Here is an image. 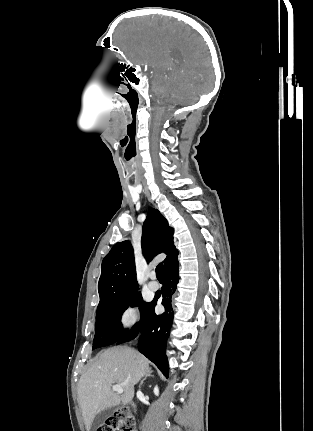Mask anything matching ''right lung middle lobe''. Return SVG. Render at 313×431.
Here are the masks:
<instances>
[{
    "instance_id": "1",
    "label": "right lung middle lobe",
    "mask_w": 313,
    "mask_h": 431,
    "mask_svg": "<svg viewBox=\"0 0 313 431\" xmlns=\"http://www.w3.org/2000/svg\"><path fill=\"white\" fill-rule=\"evenodd\" d=\"M147 304L143 301L138 289L127 295L100 302L96 314L93 349L111 345L125 336L128 331L122 329V313L130 305L132 307L139 306L142 313Z\"/></svg>"
}]
</instances>
